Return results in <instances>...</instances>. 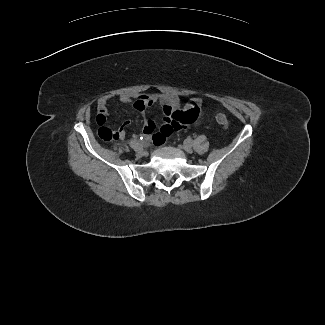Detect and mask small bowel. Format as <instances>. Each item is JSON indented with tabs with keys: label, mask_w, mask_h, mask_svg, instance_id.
<instances>
[{
	"label": "small bowel",
	"mask_w": 325,
	"mask_h": 325,
	"mask_svg": "<svg viewBox=\"0 0 325 325\" xmlns=\"http://www.w3.org/2000/svg\"><path fill=\"white\" fill-rule=\"evenodd\" d=\"M112 98V95H104L98 101L96 123L100 128L106 127L108 103ZM117 98L121 103H131L133 108L143 116V132L148 136L153 135V140L157 144L163 143L166 137L174 131L196 122L200 118V108L203 104L200 98H193L186 104L184 110H178L180 108L181 98L177 94H120ZM155 104L161 106L163 114L164 124L159 132H156L157 124L155 120L145 116L146 110ZM130 123V120H125L122 123L118 128L120 130L118 138H123L125 136V128L129 126Z\"/></svg>",
	"instance_id": "c3829d8e"
}]
</instances>
